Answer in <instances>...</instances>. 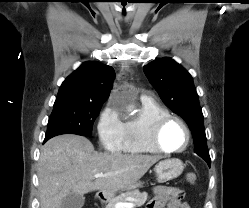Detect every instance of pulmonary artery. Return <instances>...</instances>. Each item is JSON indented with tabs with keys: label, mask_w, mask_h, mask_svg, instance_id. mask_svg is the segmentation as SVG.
Here are the masks:
<instances>
[{
	"label": "pulmonary artery",
	"mask_w": 249,
	"mask_h": 208,
	"mask_svg": "<svg viewBox=\"0 0 249 208\" xmlns=\"http://www.w3.org/2000/svg\"><path fill=\"white\" fill-rule=\"evenodd\" d=\"M148 99L147 96H142V100Z\"/></svg>",
	"instance_id": "pulmonary-artery-1"
}]
</instances>
